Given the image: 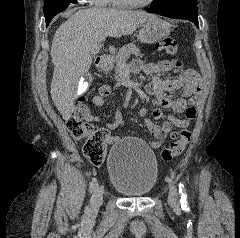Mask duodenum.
<instances>
[{
    "label": "duodenum",
    "mask_w": 240,
    "mask_h": 238,
    "mask_svg": "<svg viewBox=\"0 0 240 238\" xmlns=\"http://www.w3.org/2000/svg\"><path fill=\"white\" fill-rule=\"evenodd\" d=\"M96 66L102 73H107L109 71V61L106 58H97Z\"/></svg>",
    "instance_id": "410a0bca"
}]
</instances>
